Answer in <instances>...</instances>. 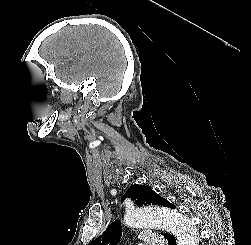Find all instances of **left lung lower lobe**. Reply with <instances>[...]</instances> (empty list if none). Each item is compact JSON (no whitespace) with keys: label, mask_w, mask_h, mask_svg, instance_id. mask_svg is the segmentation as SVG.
I'll return each mask as SVG.
<instances>
[{"label":"left lung lower lobe","mask_w":251,"mask_h":245,"mask_svg":"<svg viewBox=\"0 0 251 245\" xmlns=\"http://www.w3.org/2000/svg\"><path fill=\"white\" fill-rule=\"evenodd\" d=\"M164 237L168 240L169 245H175L176 244V239L172 234L165 233Z\"/></svg>","instance_id":"left-lung-lower-lobe-1"}]
</instances>
